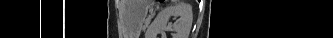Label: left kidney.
Instances as JSON below:
<instances>
[{"label":"left kidney","instance_id":"left-kidney-1","mask_svg":"<svg viewBox=\"0 0 333 38\" xmlns=\"http://www.w3.org/2000/svg\"><path fill=\"white\" fill-rule=\"evenodd\" d=\"M171 17H180L177 23H170ZM193 21L192 7L184 2L171 4L162 9L152 24L149 31L152 36L164 33L167 29L174 32L172 38H188Z\"/></svg>","mask_w":333,"mask_h":38}]
</instances>
